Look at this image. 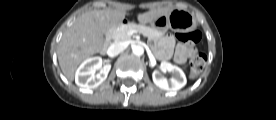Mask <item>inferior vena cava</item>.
<instances>
[{
  "label": "inferior vena cava",
  "instance_id": "inferior-vena-cava-1",
  "mask_svg": "<svg viewBox=\"0 0 276 120\" xmlns=\"http://www.w3.org/2000/svg\"><path fill=\"white\" fill-rule=\"evenodd\" d=\"M126 49V45L123 42H115L111 44L107 50L109 57H115Z\"/></svg>",
  "mask_w": 276,
  "mask_h": 120
}]
</instances>
